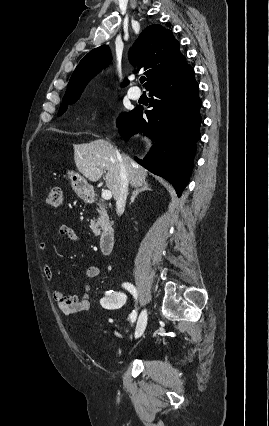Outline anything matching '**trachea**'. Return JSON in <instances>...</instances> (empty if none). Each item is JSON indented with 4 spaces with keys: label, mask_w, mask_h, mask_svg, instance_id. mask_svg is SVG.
Here are the masks:
<instances>
[{
    "label": "trachea",
    "mask_w": 269,
    "mask_h": 426,
    "mask_svg": "<svg viewBox=\"0 0 269 426\" xmlns=\"http://www.w3.org/2000/svg\"><path fill=\"white\" fill-rule=\"evenodd\" d=\"M145 80H146V78L142 76V77L140 78V82H141V84H142V83H144V82H145Z\"/></svg>",
    "instance_id": "1"
}]
</instances>
